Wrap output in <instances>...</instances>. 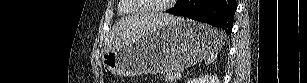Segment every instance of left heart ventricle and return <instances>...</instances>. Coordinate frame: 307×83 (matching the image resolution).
<instances>
[{"label": "left heart ventricle", "mask_w": 307, "mask_h": 83, "mask_svg": "<svg viewBox=\"0 0 307 83\" xmlns=\"http://www.w3.org/2000/svg\"><path fill=\"white\" fill-rule=\"evenodd\" d=\"M140 3L144 4L146 8H156L162 6L168 0H141Z\"/></svg>", "instance_id": "left-heart-ventricle-1"}]
</instances>
